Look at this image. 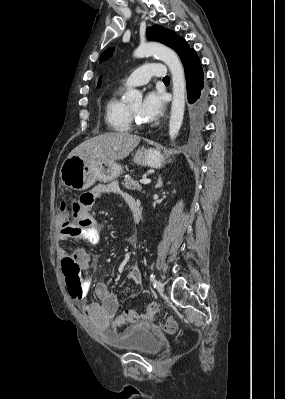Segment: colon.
<instances>
[{"instance_id": "5ec220e1", "label": "colon", "mask_w": 285, "mask_h": 399, "mask_svg": "<svg viewBox=\"0 0 285 399\" xmlns=\"http://www.w3.org/2000/svg\"><path fill=\"white\" fill-rule=\"evenodd\" d=\"M95 195L93 193L87 194L79 202L71 204L69 200L63 199L60 201V211L67 222V215L70 212V218L75 226L85 228L88 220L83 211V207L91 206L94 202ZM62 273L65 277L66 286L69 293L74 298H81L82 285H81V267L75 257H67L61 260ZM157 312V306L152 304L145 308L144 313L148 317H153ZM141 312L139 309H126L113 320V326L116 328L132 325L137 322ZM167 330H172L174 324L171 320L163 321Z\"/></svg>"}]
</instances>
